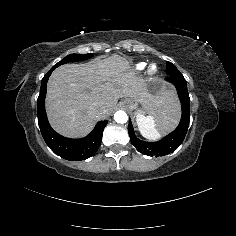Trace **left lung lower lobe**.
<instances>
[{"label": "left lung lower lobe", "mask_w": 236, "mask_h": 236, "mask_svg": "<svg viewBox=\"0 0 236 236\" xmlns=\"http://www.w3.org/2000/svg\"><path fill=\"white\" fill-rule=\"evenodd\" d=\"M168 64H170V62H167V67H169ZM166 81L172 83L176 87L181 101L182 117L178 127L157 142H146L138 139L134 133V129L130 121L128 125V132L131 142L135 148L144 155L158 157L174 152L183 142L189 127L190 98L187 90V83L182 74L169 75L166 78Z\"/></svg>", "instance_id": "1"}]
</instances>
